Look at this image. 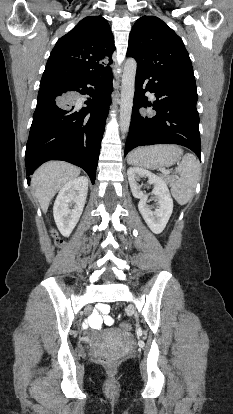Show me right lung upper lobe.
<instances>
[{"label":"right lung upper lobe","instance_id":"1","mask_svg":"<svg viewBox=\"0 0 233 414\" xmlns=\"http://www.w3.org/2000/svg\"><path fill=\"white\" fill-rule=\"evenodd\" d=\"M115 50L114 38L106 19L89 16L61 37L47 61L41 82L75 81L108 72Z\"/></svg>","mask_w":233,"mask_h":414}]
</instances>
